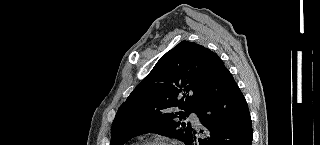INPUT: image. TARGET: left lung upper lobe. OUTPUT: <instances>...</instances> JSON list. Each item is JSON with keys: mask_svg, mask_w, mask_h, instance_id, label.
Returning a JSON list of instances; mask_svg holds the SVG:
<instances>
[{"mask_svg": "<svg viewBox=\"0 0 320 145\" xmlns=\"http://www.w3.org/2000/svg\"><path fill=\"white\" fill-rule=\"evenodd\" d=\"M219 60L210 49L189 41L164 54L118 109L111 145H124L135 136L151 132L186 144L193 129L178 119L198 113L202 84ZM174 107L182 111L174 112Z\"/></svg>", "mask_w": 320, "mask_h": 145, "instance_id": "1", "label": "left lung upper lobe"}]
</instances>
